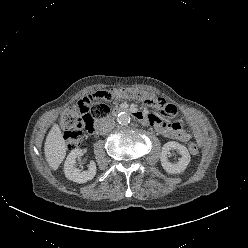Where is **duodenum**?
<instances>
[{"instance_id":"obj_1","label":"duodenum","mask_w":248,"mask_h":248,"mask_svg":"<svg viewBox=\"0 0 248 248\" xmlns=\"http://www.w3.org/2000/svg\"><path fill=\"white\" fill-rule=\"evenodd\" d=\"M122 112L130 114L135 119H137L138 121H140L144 124H149L151 122L150 118L147 115H145L144 113H142L141 111H138V110H135L132 108H128V107H117L111 112L110 115H108L104 120H102L101 122H99L96 125L95 132H98L102 128V126L106 120H108L112 116H116Z\"/></svg>"}]
</instances>
